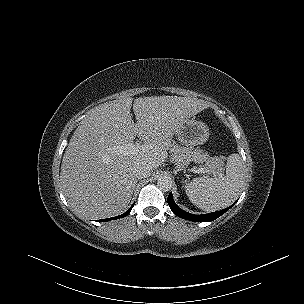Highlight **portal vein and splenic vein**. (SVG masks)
I'll list each match as a JSON object with an SVG mask.
<instances>
[{
    "label": "portal vein and splenic vein",
    "mask_w": 304,
    "mask_h": 304,
    "mask_svg": "<svg viewBox=\"0 0 304 304\" xmlns=\"http://www.w3.org/2000/svg\"><path fill=\"white\" fill-rule=\"evenodd\" d=\"M136 146L137 145H135L134 143H130V144H127L125 146H119V147H117V149L121 153H125L126 154V153H128V151L135 149ZM191 171H194L195 173H205L206 172L204 168L192 169ZM214 173H217V172H214Z\"/></svg>",
    "instance_id": "18ae733b"
}]
</instances>
